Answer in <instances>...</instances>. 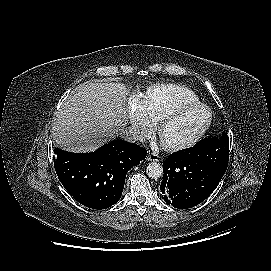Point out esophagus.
I'll use <instances>...</instances> for the list:
<instances>
[{"label":"esophagus","instance_id":"1","mask_svg":"<svg viewBox=\"0 0 271 271\" xmlns=\"http://www.w3.org/2000/svg\"><path fill=\"white\" fill-rule=\"evenodd\" d=\"M148 161H156V162H161L162 161V157L159 156L156 153H149L148 157H147Z\"/></svg>","mask_w":271,"mask_h":271}]
</instances>
